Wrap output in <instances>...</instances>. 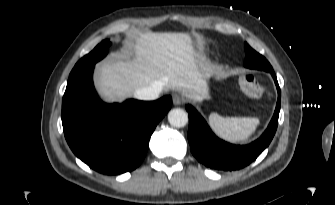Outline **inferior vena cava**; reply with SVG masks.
Here are the masks:
<instances>
[{
    "label": "inferior vena cava",
    "instance_id": "1",
    "mask_svg": "<svg viewBox=\"0 0 335 205\" xmlns=\"http://www.w3.org/2000/svg\"><path fill=\"white\" fill-rule=\"evenodd\" d=\"M161 91L160 86L152 85L136 90L134 96L141 100H154L159 97Z\"/></svg>",
    "mask_w": 335,
    "mask_h": 205
}]
</instances>
